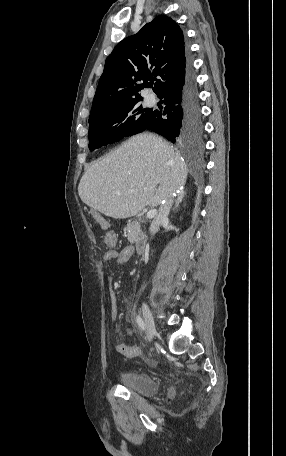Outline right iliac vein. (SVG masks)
<instances>
[{"label": "right iliac vein", "instance_id": "right-iliac-vein-1", "mask_svg": "<svg viewBox=\"0 0 286 456\" xmlns=\"http://www.w3.org/2000/svg\"><path fill=\"white\" fill-rule=\"evenodd\" d=\"M142 312H143L145 325L147 328L148 340L152 341V339L156 335L157 331H156V325H155L152 313L146 303L142 304Z\"/></svg>", "mask_w": 286, "mask_h": 456}]
</instances>
